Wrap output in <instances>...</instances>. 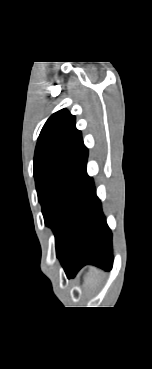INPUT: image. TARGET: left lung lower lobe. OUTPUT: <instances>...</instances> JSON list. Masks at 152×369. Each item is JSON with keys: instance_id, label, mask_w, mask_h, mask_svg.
Here are the masks:
<instances>
[{"instance_id": "left-lung-lower-lobe-1", "label": "left lung lower lobe", "mask_w": 152, "mask_h": 369, "mask_svg": "<svg viewBox=\"0 0 152 369\" xmlns=\"http://www.w3.org/2000/svg\"><path fill=\"white\" fill-rule=\"evenodd\" d=\"M57 256L67 277L75 276L86 264L105 270L112 268V234L96 196L93 179L87 173Z\"/></svg>"}]
</instances>
